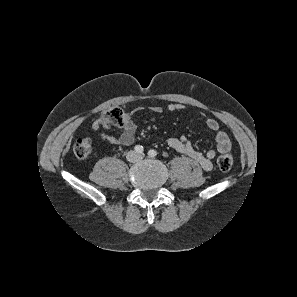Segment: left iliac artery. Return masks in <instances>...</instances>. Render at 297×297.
<instances>
[{"instance_id":"44dca946","label":"left iliac artery","mask_w":297,"mask_h":297,"mask_svg":"<svg viewBox=\"0 0 297 297\" xmlns=\"http://www.w3.org/2000/svg\"><path fill=\"white\" fill-rule=\"evenodd\" d=\"M148 155L150 157H155L157 155V151L154 150V149H151V150L148 151Z\"/></svg>"}]
</instances>
